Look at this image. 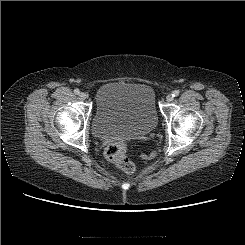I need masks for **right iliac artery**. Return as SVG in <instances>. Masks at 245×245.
Instances as JSON below:
<instances>
[{"instance_id":"82829eb1","label":"right iliac artery","mask_w":245,"mask_h":245,"mask_svg":"<svg viewBox=\"0 0 245 245\" xmlns=\"http://www.w3.org/2000/svg\"><path fill=\"white\" fill-rule=\"evenodd\" d=\"M74 93L78 95V94H80V90L79 89H75Z\"/></svg>"}]
</instances>
